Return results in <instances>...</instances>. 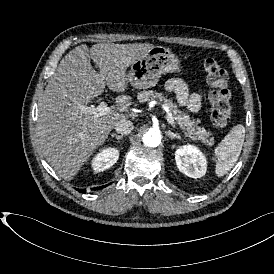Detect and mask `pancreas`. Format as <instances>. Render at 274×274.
<instances>
[{
  "label": "pancreas",
  "mask_w": 274,
  "mask_h": 274,
  "mask_svg": "<svg viewBox=\"0 0 274 274\" xmlns=\"http://www.w3.org/2000/svg\"><path fill=\"white\" fill-rule=\"evenodd\" d=\"M139 102H151L157 101V103H163V107L171 110L174 119L177 121L182 131H185V135L193 141H199L201 144L206 143L209 146L214 144L213 137H210L211 133L205 128L196 126L195 121L190 120L188 111H181L172 98L158 93L153 90L141 91L138 95Z\"/></svg>",
  "instance_id": "pancreas-1"
}]
</instances>
